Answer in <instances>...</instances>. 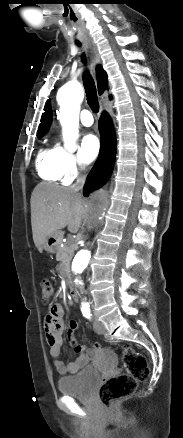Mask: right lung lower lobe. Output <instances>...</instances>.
I'll return each mask as SVG.
<instances>
[{"label":"right lung lower lobe","mask_w":183,"mask_h":438,"mask_svg":"<svg viewBox=\"0 0 183 438\" xmlns=\"http://www.w3.org/2000/svg\"><path fill=\"white\" fill-rule=\"evenodd\" d=\"M101 148L99 157L88 174L84 195L101 187L109 179L113 170L116 155V139L112 121L107 113H103L99 121Z\"/></svg>","instance_id":"98d812e1"}]
</instances>
